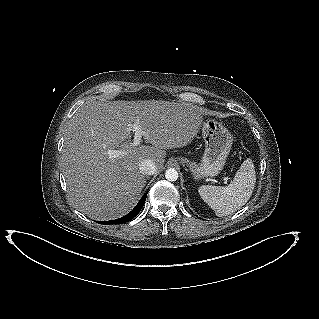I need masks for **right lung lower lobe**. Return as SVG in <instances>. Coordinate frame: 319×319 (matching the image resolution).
<instances>
[{
    "instance_id": "98d812e1",
    "label": "right lung lower lobe",
    "mask_w": 319,
    "mask_h": 319,
    "mask_svg": "<svg viewBox=\"0 0 319 319\" xmlns=\"http://www.w3.org/2000/svg\"><path fill=\"white\" fill-rule=\"evenodd\" d=\"M146 196H147V192L143 195V197L140 199V201L134 207V209L130 213L125 215L124 217H121L119 219H115V220H112V221L102 222V224H107V225H109V224H122V223H126V222L131 221L141 211V209H142V207H143V205L145 203Z\"/></svg>"
}]
</instances>
